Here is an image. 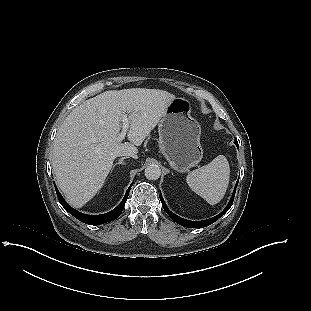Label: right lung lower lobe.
<instances>
[{
  "label": "right lung lower lobe",
  "mask_w": 311,
  "mask_h": 311,
  "mask_svg": "<svg viewBox=\"0 0 311 311\" xmlns=\"http://www.w3.org/2000/svg\"><path fill=\"white\" fill-rule=\"evenodd\" d=\"M133 185V183L129 186V188L126 190L125 196L123 198V200L121 201V203L112 211L102 214V215H87V214H83L78 212L77 210L73 209L72 207H70L66 201L63 199V197L61 196V194L59 193L58 189L56 188L55 184V189H56V193L59 199V202L61 203V205L71 214L73 215L75 218H77L78 220H80L81 222H84L86 224H90V225H100L106 222H110L115 220L116 218H118L120 216V214L123 211L125 202L128 198L129 195V191L131 186Z\"/></svg>",
  "instance_id": "1"
}]
</instances>
